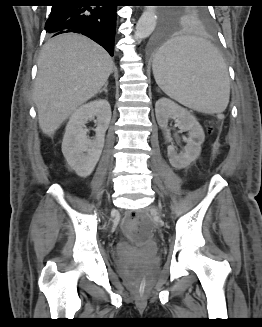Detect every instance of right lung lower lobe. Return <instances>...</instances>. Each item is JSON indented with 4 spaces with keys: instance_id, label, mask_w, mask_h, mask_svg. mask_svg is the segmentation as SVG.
Here are the masks:
<instances>
[{
    "instance_id": "98d812e1",
    "label": "right lung lower lobe",
    "mask_w": 262,
    "mask_h": 327,
    "mask_svg": "<svg viewBox=\"0 0 262 327\" xmlns=\"http://www.w3.org/2000/svg\"><path fill=\"white\" fill-rule=\"evenodd\" d=\"M50 16L45 24L46 32L81 33L114 54L116 6H85L76 0H53Z\"/></svg>"
}]
</instances>
